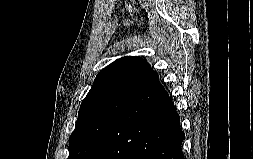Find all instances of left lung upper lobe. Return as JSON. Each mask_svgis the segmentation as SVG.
Wrapping results in <instances>:
<instances>
[{
  "label": "left lung upper lobe",
  "mask_w": 253,
  "mask_h": 159,
  "mask_svg": "<svg viewBox=\"0 0 253 159\" xmlns=\"http://www.w3.org/2000/svg\"><path fill=\"white\" fill-rule=\"evenodd\" d=\"M157 79L140 57H123L103 68L80 106L67 159H91L119 113Z\"/></svg>",
  "instance_id": "obj_1"
}]
</instances>
